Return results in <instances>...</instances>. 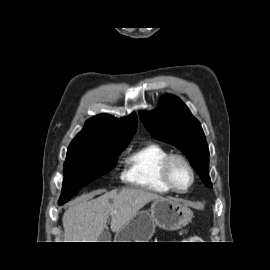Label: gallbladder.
Returning a JSON list of instances; mask_svg holds the SVG:
<instances>
[{"label":"gallbladder","instance_id":"1","mask_svg":"<svg viewBox=\"0 0 270 270\" xmlns=\"http://www.w3.org/2000/svg\"><path fill=\"white\" fill-rule=\"evenodd\" d=\"M111 240V234L109 231L104 230L99 236V242H109Z\"/></svg>","mask_w":270,"mask_h":270}]
</instances>
